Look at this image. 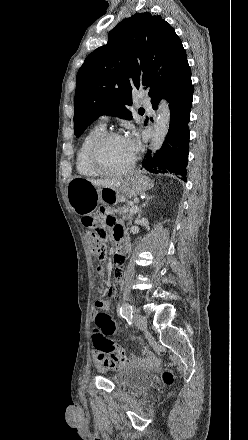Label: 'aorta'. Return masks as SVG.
<instances>
[{"label": "aorta", "mask_w": 248, "mask_h": 440, "mask_svg": "<svg viewBox=\"0 0 248 440\" xmlns=\"http://www.w3.org/2000/svg\"><path fill=\"white\" fill-rule=\"evenodd\" d=\"M170 125V109L166 100L160 102L154 125L153 136L150 142L152 152L159 150L168 134Z\"/></svg>", "instance_id": "obj_1"}]
</instances>
